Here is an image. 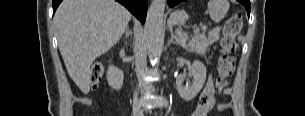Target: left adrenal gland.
<instances>
[{"label":"left adrenal gland","mask_w":305,"mask_h":116,"mask_svg":"<svg viewBox=\"0 0 305 116\" xmlns=\"http://www.w3.org/2000/svg\"><path fill=\"white\" fill-rule=\"evenodd\" d=\"M171 43H174V44L178 43V42L174 41V34L173 33L171 34V39L169 40L168 45H170Z\"/></svg>","instance_id":"a2214340"}]
</instances>
